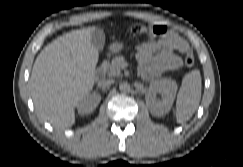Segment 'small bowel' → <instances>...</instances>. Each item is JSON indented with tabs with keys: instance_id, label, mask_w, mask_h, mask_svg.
I'll return each instance as SVG.
<instances>
[{
	"instance_id": "small-bowel-1",
	"label": "small bowel",
	"mask_w": 243,
	"mask_h": 167,
	"mask_svg": "<svg viewBox=\"0 0 243 167\" xmlns=\"http://www.w3.org/2000/svg\"><path fill=\"white\" fill-rule=\"evenodd\" d=\"M189 49L186 40L173 31L166 32L156 40L141 43L136 48L139 73L145 80H153L164 72L181 67L182 60L177 53Z\"/></svg>"
}]
</instances>
